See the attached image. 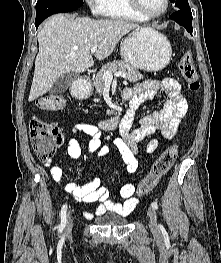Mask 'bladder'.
Segmentation results:
<instances>
[{"label": "bladder", "mask_w": 221, "mask_h": 263, "mask_svg": "<svg viewBox=\"0 0 221 263\" xmlns=\"http://www.w3.org/2000/svg\"><path fill=\"white\" fill-rule=\"evenodd\" d=\"M97 225H124L127 223V220L123 217H120L116 214H113L112 217L99 216L95 218Z\"/></svg>", "instance_id": "1"}]
</instances>
